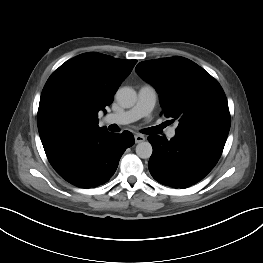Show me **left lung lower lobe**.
I'll use <instances>...</instances> for the list:
<instances>
[{
  "instance_id": "obj_1",
  "label": "left lung lower lobe",
  "mask_w": 263,
  "mask_h": 263,
  "mask_svg": "<svg viewBox=\"0 0 263 263\" xmlns=\"http://www.w3.org/2000/svg\"><path fill=\"white\" fill-rule=\"evenodd\" d=\"M175 132L171 140L160 136L148 137L153 147L148 167L159 183L173 188H187L213 169L227 136Z\"/></svg>"
}]
</instances>
